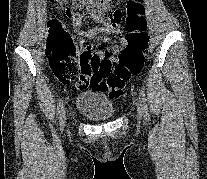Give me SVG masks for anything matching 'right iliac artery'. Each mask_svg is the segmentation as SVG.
<instances>
[{"mask_svg":"<svg viewBox=\"0 0 207 179\" xmlns=\"http://www.w3.org/2000/svg\"><path fill=\"white\" fill-rule=\"evenodd\" d=\"M63 114H64L63 102L61 100H59L57 103V115H58V119L60 121V125H62Z\"/></svg>","mask_w":207,"mask_h":179,"instance_id":"right-iliac-artery-1","label":"right iliac artery"}]
</instances>
